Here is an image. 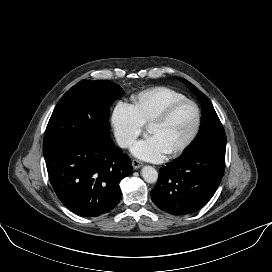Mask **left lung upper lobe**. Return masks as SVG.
Instances as JSON below:
<instances>
[{
  "label": "left lung upper lobe",
  "mask_w": 272,
  "mask_h": 272,
  "mask_svg": "<svg viewBox=\"0 0 272 272\" xmlns=\"http://www.w3.org/2000/svg\"><path fill=\"white\" fill-rule=\"evenodd\" d=\"M183 82L196 95L202 106L200 131L195 140L184 150L186 153H207L225 159L226 134L208 97L189 81Z\"/></svg>",
  "instance_id": "obj_1"
}]
</instances>
